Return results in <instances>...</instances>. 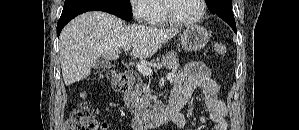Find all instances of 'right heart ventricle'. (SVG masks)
<instances>
[{"label": "right heart ventricle", "mask_w": 299, "mask_h": 130, "mask_svg": "<svg viewBox=\"0 0 299 130\" xmlns=\"http://www.w3.org/2000/svg\"><path fill=\"white\" fill-rule=\"evenodd\" d=\"M150 19L148 21L151 25L161 26L165 25L168 21L163 10V1L154 0L150 4Z\"/></svg>", "instance_id": "1"}]
</instances>
